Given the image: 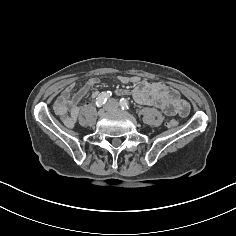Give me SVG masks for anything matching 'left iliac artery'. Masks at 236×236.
Wrapping results in <instances>:
<instances>
[{
  "instance_id": "1",
  "label": "left iliac artery",
  "mask_w": 236,
  "mask_h": 236,
  "mask_svg": "<svg viewBox=\"0 0 236 236\" xmlns=\"http://www.w3.org/2000/svg\"><path fill=\"white\" fill-rule=\"evenodd\" d=\"M119 104H120L122 109L128 110L130 108L128 101L124 98L120 99Z\"/></svg>"
}]
</instances>
